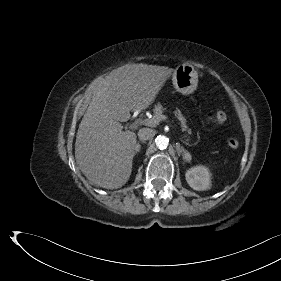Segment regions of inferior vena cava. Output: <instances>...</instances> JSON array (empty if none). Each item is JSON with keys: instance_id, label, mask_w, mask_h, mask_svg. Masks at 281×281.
<instances>
[{"instance_id": "1", "label": "inferior vena cava", "mask_w": 281, "mask_h": 281, "mask_svg": "<svg viewBox=\"0 0 281 281\" xmlns=\"http://www.w3.org/2000/svg\"><path fill=\"white\" fill-rule=\"evenodd\" d=\"M155 136V131L151 128H142L138 132V137L140 140H150Z\"/></svg>"}]
</instances>
